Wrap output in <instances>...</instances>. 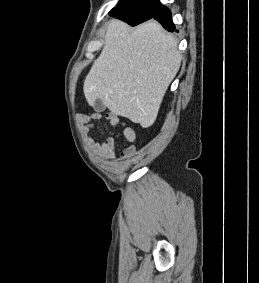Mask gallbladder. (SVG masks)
<instances>
[{"label": "gallbladder", "mask_w": 259, "mask_h": 283, "mask_svg": "<svg viewBox=\"0 0 259 283\" xmlns=\"http://www.w3.org/2000/svg\"><path fill=\"white\" fill-rule=\"evenodd\" d=\"M93 109L96 112H103L106 109V107L100 99H97L93 105Z\"/></svg>", "instance_id": "obj_1"}]
</instances>
